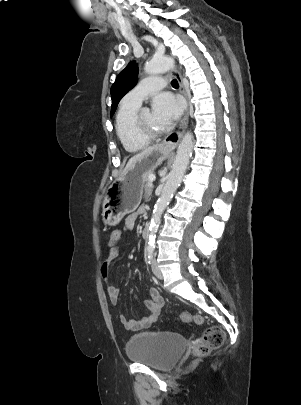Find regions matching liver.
I'll return each mask as SVG.
<instances>
[{
  "mask_svg": "<svg viewBox=\"0 0 301 405\" xmlns=\"http://www.w3.org/2000/svg\"><path fill=\"white\" fill-rule=\"evenodd\" d=\"M160 145H153L150 146L148 148H145L144 150H142L140 153L134 155L132 158L129 159L125 169L123 170L122 175L132 166V164L139 160L140 158L146 156L147 154H149L150 152H152L153 150H155L156 148H158Z\"/></svg>",
  "mask_w": 301,
  "mask_h": 405,
  "instance_id": "obj_1",
  "label": "liver"
}]
</instances>
